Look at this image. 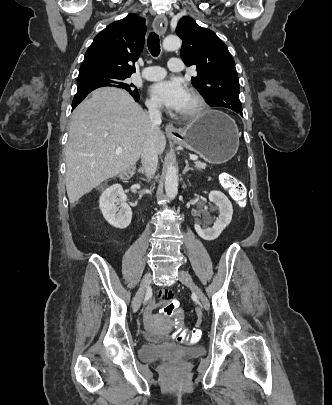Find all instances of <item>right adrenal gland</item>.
Returning <instances> with one entry per match:
<instances>
[{"label": "right adrenal gland", "instance_id": "obj_1", "mask_svg": "<svg viewBox=\"0 0 332 405\" xmlns=\"http://www.w3.org/2000/svg\"><path fill=\"white\" fill-rule=\"evenodd\" d=\"M138 172L143 174V173H144L143 168H139V169H138Z\"/></svg>", "mask_w": 332, "mask_h": 405}]
</instances>
